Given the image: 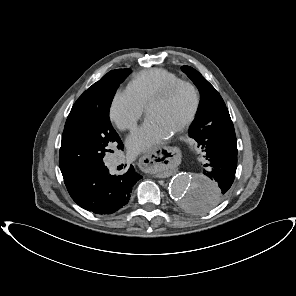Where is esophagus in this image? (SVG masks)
Here are the masks:
<instances>
[{
    "instance_id": "obj_1",
    "label": "esophagus",
    "mask_w": 296,
    "mask_h": 296,
    "mask_svg": "<svg viewBox=\"0 0 296 296\" xmlns=\"http://www.w3.org/2000/svg\"><path fill=\"white\" fill-rule=\"evenodd\" d=\"M183 158L184 153L179 146H163L160 150L139 156L137 159V168L142 173L157 174L169 171L173 166L179 165L183 161ZM164 175L161 174V176Z\"/></svg>"
}]
</instances>
